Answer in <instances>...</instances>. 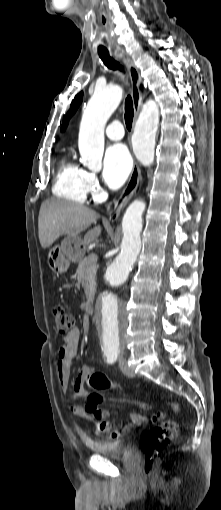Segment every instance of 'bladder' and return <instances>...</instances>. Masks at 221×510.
<instances>
[{
	"label": "bladder",
	"instance_id": "31cf9c89",
	"mask_svg": "<svg viewBox=\"0 0 221 510\" xmlns=\"http://www.w3.org/2000/svg\"><path fill=\"white\" fill-rule=\"evenodd\" d=\"M135 434H128L120 437L116 441H95L88 445V448L95 453L101 454L107 458H119L128 455L134 447Z\"/></svg>",
	"mask_w": 221,
	"mask_h": 510
}]
</instances>
